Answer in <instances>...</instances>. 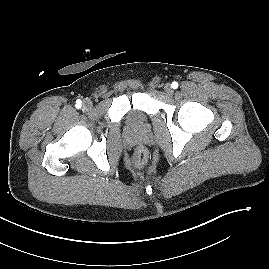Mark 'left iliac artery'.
Returning <instances> with one entry per match:
<instances>
[{
  "label": "left iliac artery",
  "instance_id": "44dca946",
  "mask_svg": "<svg viewBox=\"0 0 269 269\" xmlns=\"http://www.w3.org/2000/svg\"><path fill=\"white\" fill-rule=\"evenodd\" d=\"M171 86L173 89H176V88H178V83L176 81H174V82H172Z\"/></svg>",
  "mask_w": 269,
  "mask_h": 269
}]
</instances>
